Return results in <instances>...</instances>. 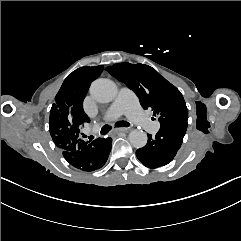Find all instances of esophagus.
<instances>
[{"instance_id": "esophagus-1", "label": "esophagus", "mask_w": 241, "mask_h": 241, "mask_svg": "<svg viewBox=\"0 0 241 241\" xmlns=\"http://www.w3.org/2000/svg\"><path fill=\"white\" fill-rule=\"evenodd\" d=\"M127 131H129L128 128H118V129L114 130L113 132L118 133V132H127Z\"/></svg>"}]
</instances>
